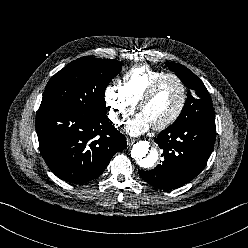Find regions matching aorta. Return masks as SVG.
<instances>
[{"instance_id": "obj_1", "label": "aorta", "mask_w": 248, "mask_h": 248, "mask_svg": "<svg viewBox=\"0 0 248 248\" xmlns=\"http://www.w3.org/2000/svg\"><path fill=\"white\" fill-rule=\"evenodd\" d=\"M131 157L143 168L153 167L159 158V152L150 148L148 141H139L131 149Z\"/></svg>"}]
</instances>
